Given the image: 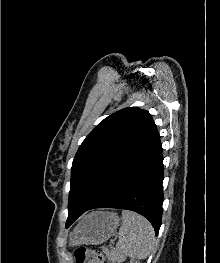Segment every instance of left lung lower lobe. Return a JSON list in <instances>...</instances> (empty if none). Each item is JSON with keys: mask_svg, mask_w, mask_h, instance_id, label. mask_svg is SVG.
Here are the masks:
<instances>
[{"mask_svg": "<svg viewBox=\"0 0 220 263\" xmlns=\"http://www.w3.org/2000/svg\"><path fill=\"white\" fill-rule=\"evenodd\" d=\"M163 157L159 135L86 209L68 211L66 227L95 208L135 211L146 217L158 235L163 203Z\"/></svg>", "mask_w": 220, "mask_h": 263, "instance_id": "left-lung-lower-lobe-1", "label": "left lung lower lobe"}]
</instances>
